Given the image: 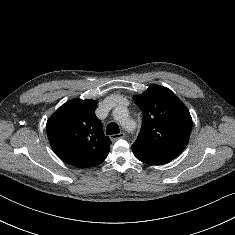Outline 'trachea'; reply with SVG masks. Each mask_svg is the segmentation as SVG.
Returning a JSON list of instances; mask_svg holds the SVG:
<instances>
[{
    "label": "trachea",
    "mask_w": 235,
    "mask_h": 235,
    "mask_svg": "<svg viewBox=\"0 0 235 235\" xmlns=\"http://www.w3.org/2000/svg\"><path fill=\"white\" fill-rule=\"evenodd\" d=\"M120 133L119 126L115 122H111L107 125L106 127V134L111 135V134H118Z\"/></svg>",
    "instance_id": "3493384b"
}]
</instances>
